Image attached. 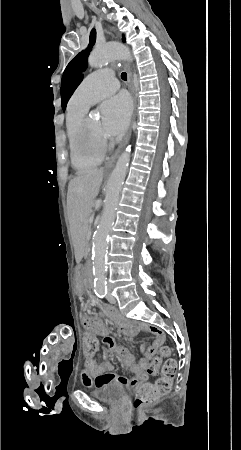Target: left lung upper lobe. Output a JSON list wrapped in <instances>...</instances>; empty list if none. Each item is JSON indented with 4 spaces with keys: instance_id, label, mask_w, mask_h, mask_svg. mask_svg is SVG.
<instances>
[{
    "instance_id": "left-lung-upper-lobe-1",
    "label": "left lung upper lobe",
    "mask_w": 241,
    "mask_h": 450,
    "mask_svg": "<svg viewBox=\"0 0 241 450\" xmlns=\"http://www.w3.org/2000/svg\"><path fill=\"white\" fill-rule=\"evenodd\" d=\"M125 41V38L122 39ZM96 41V31L93 29L90 33V41L88 48L75 56L70 63L67 65L61 83V99H62V108L66 109V105L72 96L75 89L83 80V72L87 68V59L89 52L91 51L93 45Z\"/></svg>"
}]
</instances>
